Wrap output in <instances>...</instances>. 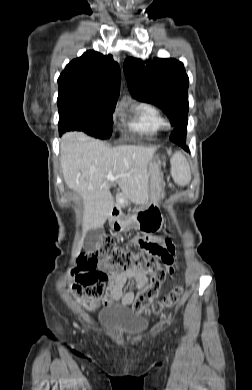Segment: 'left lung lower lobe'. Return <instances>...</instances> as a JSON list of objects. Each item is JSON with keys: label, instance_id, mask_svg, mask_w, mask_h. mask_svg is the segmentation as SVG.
I'll return each mask as SVG.
<instances>
[{"label": "left lung lower lobe", "instance_id": "0a47b994", "mask_svg": "<svg viewBox=\"0 0 252 390\" xmlns=\"http://www.w3.org/2000/svg\"><path fill=\"white\" fill-rule=\"evenodd\" d=\"M186 132L181 133L178 138L175 139V143H178L181 147L188 151V147L185 146Z\"/></svg>", "mask_w": 252, "mask_h": 390}]
</instances>
